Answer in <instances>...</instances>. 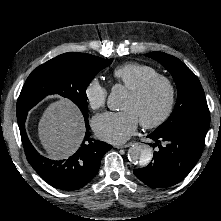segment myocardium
I'll return each mask as SVG.
<instances>
[{
	"label": "myocardium",
	"mask_w": 221,
	"mask_h": 221,
	"mask_svg": "<svg viewBox=\"0 0 221 221\" xmlns=\"http://www.w3.org/2000/svg\"><path fill=\"white\" fill-rule=\"evenodd\" d=\"M156 83H162L165 86L167 90V100L162 113L157 118L151 121H140L141 126L146 129L156 128L168 120L175 105V87L169 78L164 75L156 74L145 79L129 91L132 96L140 98L144 96Z\"/></svg>",
	"instance_id": "myocardium-1"
}]
</instances>
